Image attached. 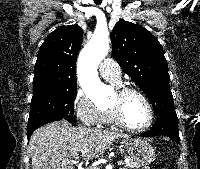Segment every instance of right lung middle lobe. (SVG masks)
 <instances>
[{"label": "right lung middle lobe", "mask_w": 200, "mask_h": 169, "mask_svg": "<svg viewBox=\"0 0 200 169\" xmlns=\"http://www.w3.org/2000/svg\"><path fill=\"white\" fill-rule=\"evenodd\" d=\"M77 82L60 87L33 89L28 122L44 118H65L74 113Z\"/></svg>", "instance_id": "dd1d6c3e"}]
</instances>
